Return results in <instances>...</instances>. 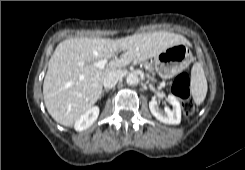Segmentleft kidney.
<instances>
[{
    "instance_id": "left-kidney-1",
    "label": "left kidney",
    "mask_w": 245,
    "mask_h": 170,
    "mask_svg": "<svg viewBox=\"0 0 245 170\" xmlns=\"http://www.w3.org/2000/svg\"><path fill=\"white\" fill-rule=\"evenodd\" d=\"M168 100L172 105V109L165 107L164 110L159 108L156 100L149 102V108L152 115L165 124L177 125L181 122V106L178 99L174 95H168Z\"/></svg>"
}]
</instances>
